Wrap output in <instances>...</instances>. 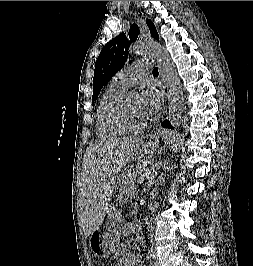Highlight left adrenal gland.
I'll return each mask as SVG.
<instances>
[{
	"label": "left adrenal gland",
	"mask_w": 253,
	"mask_h": 266,
	"mask_svg": "<svg viewBox=\"0 0 253 266\" xmlns=\"http://www.w3.org/2000/svg\"><path fill=\"white\" fill-rule=\"evenodd\" d=\"M149 183H150L149 186H151L153 184V179L152 178H150Z\"/></svg>",
	"instance_id": "1"
}]
</instances>
